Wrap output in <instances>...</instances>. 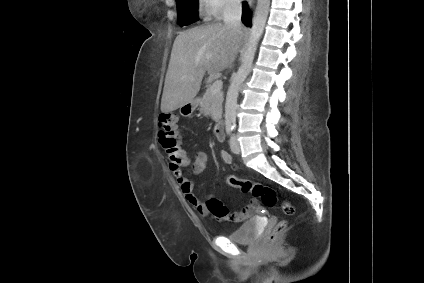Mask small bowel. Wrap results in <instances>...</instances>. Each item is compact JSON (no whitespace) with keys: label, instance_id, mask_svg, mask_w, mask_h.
<instances>
[{"label":"small bowel","instance_id":"1","mask_svg":"<svg viewBox=\"0 0 424 283\" xmlns=\"http://www.w3.org/2000/svg\"><path fill=\"white\" fill-rule=\"evenodd\" d=\"M224 140V135L223 138L221 140V142ZM188 158V157H187ZM220 158L221 160L225 163V164H232V157L231 155L226 152V151H221L220 152ZM190 163V160L188 159L187 164ZM206 164H207V155L204 152H197L193 161L191 162V173L193 176H197L199 174H201L205 168H206ZM174 178L177 182V185L181 191V193L183 194L185 200L196 209V211L200 214V215H207L208 214V209L206 206V203L199 200L195 193H194V183L192 182V180L190 178H188L187 176H185L183 170L181 168L177 169V170H172ZM236 219H240L243 218V214H237L235 216Z\"/></svg>","mask_w":424,"mask_h":283}]
</instances>
